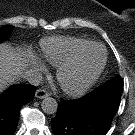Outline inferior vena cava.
<instances>
[{"instance_id": "obj_1", "label": "inferior vena cava", "mask_w": 135, "mask_h": 135, "mask_svg": "<svg viewBox=\"0 0 135 135\" xmlns=\"http://www.w3.org/2000/svg\"><path fill=\"white\" fill-rule=\"evenodd\" d=\"M25 78L27 79V81L32 84V85H39L42 76L39 72H37L36 70H28L27 72H25Z\"/></svg>"}]
</instances>
